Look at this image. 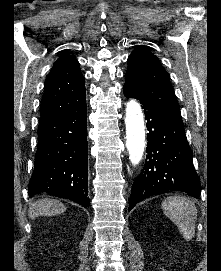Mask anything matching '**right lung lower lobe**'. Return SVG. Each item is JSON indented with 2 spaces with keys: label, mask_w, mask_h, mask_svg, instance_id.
<instances>
[{
  "label": "right lung lower lobe",
  "mask_w": 221,
  "mask_h": 271,
  "mask_svg": "<svg viewBox=\"0 0 221 271\" xmlns=\"http://www.w3.org/2000/svg\"><path fill=\"white\" fill-rule=\"evenodd\" d=\"M49 193L84 207L88 194L86 103L76 110L40 120L29 197Z\"/></svg>",
  "instance_id": "right-lung-lower-lobe-1"
}]
</instances>
